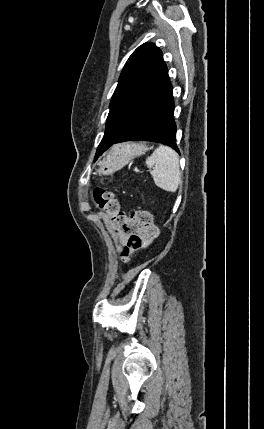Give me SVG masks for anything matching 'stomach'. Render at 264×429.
Masks as SVG:
<instances>
[{"mask_svg": "<svg viewBox=\"0 0 264 429\" xmlns=\"http://www.w3.org/2000/svg\"><path fill=\"white\" fill-rule=\"evenodd\" d=\"M149 147L144 143H121L115 145L99 163V172L110 175L123 168L134 157L144 154Z\"/></svg>", "mask_w": 264, "mask_h": 429, "instance_id": "stomach-1", "label": "stomach"}]
</instances>
